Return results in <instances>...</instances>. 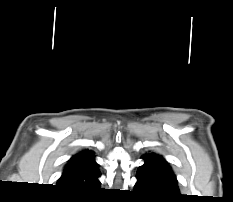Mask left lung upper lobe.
I'll return each instance as SVG.
<instances>
[{"label":"left lung upper lobe","mask_w":233,"mask_h":202,"mask_svg":"<svg viewBox=\"0 0 233 202\" xmlns=\"http://www.w3.org/2000/svg\"><path fill=\"white\" fill-rule=\"evenodd\" d=\"M144 164L139 167L138 172L144 171L154 178L163 180L177 186V179L167 161L158 154L150 153L143 157Z\"/></svg>","instance_id":"obj_1"}]
</instances>
